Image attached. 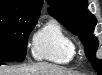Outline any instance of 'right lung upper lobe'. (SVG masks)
I'll return each mask as SVG.
<instances>
[{
	"label": "right lung upper lobe",
	"mask_w": 102,
	"mask_h": 75,
	"mask_svg": "<svg viewBox=\"0 0 102 75\" xmlns=\"http://www.w3.org/2000/svg\"><path fill=\"white\" fill-rule=\"evenodd\" d=\"M43 0H0V12L40 15Z\"/></svg>",
	"instance_id": "right-lung-upper-lobe-1"
}]
</instances>
